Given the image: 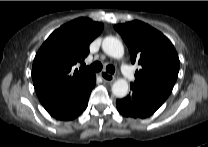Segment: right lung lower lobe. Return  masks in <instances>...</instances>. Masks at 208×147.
<instances>
[{"instance_id": "98d812e1", "label": "right lung lower lobe", "mask_w": 208, "mask_h": 147, "mask_svg": "<svg viewBox=\"0 0 208 147\" xmlns=\"http://www.w3.org/2000/svg\"><path fill=\"white\" fill-rule=\"evenodd\" d=\"M95 84L96 77L94 76L69 97L44 105V108L56 119L72 120L86 109L91 90Z\"/></svg>"}]
</instances>
